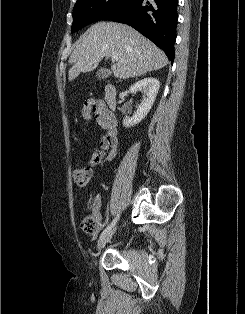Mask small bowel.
<instances>
[{"label":"small bowel","mask_w":245,"mask_h":314,"mask_svg":"<svg viewBox=\"0 0 245 314\" xmlns=\"http://www.w3.org/2000/svg\"><path fill=\"white\" fill-rule=\"evenodd\" d=\"M82 117L85 122H89L92 115L97 125L103 130L99 145L95 149H89L88 162L91 166L100 168L111 162L117 153L118 148V130L113 115L106 112L104 104L98 99H89L85 101L82 110ZM100 207V198L94 201L93 211L98 215L100 225L96 231H100L103 227V218L98 214Z\"/></svg>","instance_id":"1"}]
</instances>
